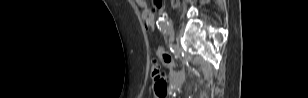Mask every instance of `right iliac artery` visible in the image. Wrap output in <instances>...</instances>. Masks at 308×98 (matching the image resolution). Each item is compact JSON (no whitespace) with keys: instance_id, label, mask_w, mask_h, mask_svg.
<instances>
[{"instance_id":"obj_1","label":"right iliac artery","mask_w":308,"mask_h":98,"mask_svg":"<svg viewBox=\"0 0 308 98\" xmlns=\"http://www.w3.org/2000/svg\"><path fill=\"white\" fill-rule=\"evenodd\" d=\"M158 29L165 34L167 32V23L164 18H159L156 22Z\"/></svg>"}]
</instances>
